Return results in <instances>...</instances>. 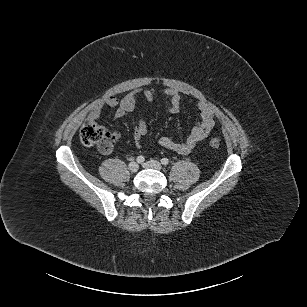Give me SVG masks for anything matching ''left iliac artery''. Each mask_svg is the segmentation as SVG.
<instances>
[{"mask_svg": "<svg viewBox=\"0 0 307 307\" xmlns=\"http://www.w3.org/2000/svg\"><path fill=\"white\" fill-rule=\"evenodd\" d=\"M161 163H162L164 166H167V165L169 164L168 158H162V159H161Z\"/></svg>", "mask_w": 307, "mask_h": 307, "instance_id": "44dca946", "label": "left iliac artery"}]
</instances>
